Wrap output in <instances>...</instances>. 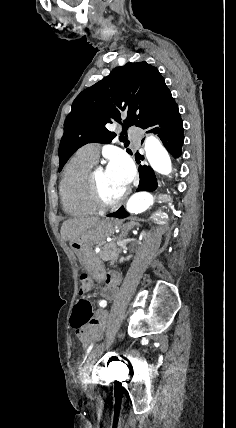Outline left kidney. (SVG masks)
I'll list each match as a JSON object with an SVG mask.
<instances>
[{"label":"left kidney","instance_id":"5707ae66","mask_svg":"<svg viewBox=\"0 0 236 428\" xmlns=\"http://www.w3.org/2000/svg\"><path fill=\"white\" fill-rule=\"evenodd\" d=\"M143 236H145L143 232ZM131 256H127V258H120V262H125V260H130Z\"/></svg>","mask_w":236,"mask_h":428}]
</instances>
